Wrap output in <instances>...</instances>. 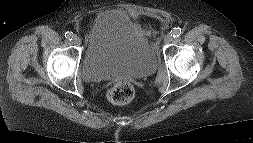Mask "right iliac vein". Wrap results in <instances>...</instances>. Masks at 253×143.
I'll return each instance as SVG.
<instances>
[{
  "instance_id": "1",
  "label": "right iliac vein",
  "mask_w": 253,
  "mask_h": 143,
  "mask_svg": "<svg viewBox=\"0 0 253 143\" xmlns=\"http://www.w3.org/2000/svg\"><path fill=\"white\" fill-rule=\"evenodd\" d=\"M73 44L80 45L81 44V38L79 36H74L72 39Z\"/></svg>"
}]
</instances>
